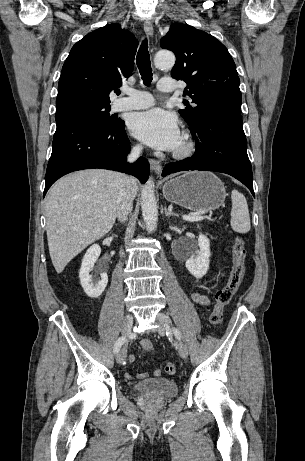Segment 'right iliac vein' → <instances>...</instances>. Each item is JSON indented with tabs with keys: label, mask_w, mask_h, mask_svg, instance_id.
I'll return each instance as SVG.
<instances>
[{
	"label": "right iliac vein",
	"mask_w": 305,
	"mask_h": 461,
	"mask_svg": "<svg viewBox=\"0 0 305 461\" xmlns=\"http://www.w3.org/2000/svg\"><path fill=\"white\" fill-rule=\"evenodd\" d=\"M132 326H133V316L131 314H128V315L125 316V318L123 320V324H122V328H121L122 335L125 336V337L129 336L130 333H131ZM126 356H127V351H126V348L123 347L117 353L116 361L119 364H122L126 360Z\"/></svg>",
	"instance_id": "obj_1"
}]
</instances>
